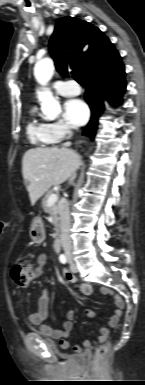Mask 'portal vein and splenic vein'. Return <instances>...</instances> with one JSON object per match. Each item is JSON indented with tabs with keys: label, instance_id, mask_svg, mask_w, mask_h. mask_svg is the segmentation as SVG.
<instances>
[{
	"label": "portal vein and splenic vein",
	"instance_id": "obj_1",
	"mask_svg": "<svg viewBox=\"0 0 145 385\" xmlns=\"http://www.w3.org/2000/svg\"><path fill=\"white\" fill-rule=\"evenodd\" d=\"M58 199V195L56 193H52L48 200H47V204L48 206H52Z\"/></svg>",
	"mask_w": 145,
	"mask_h": 385
}]
</instances>
